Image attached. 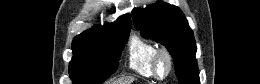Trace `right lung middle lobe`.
Segmentation results:
<instances>
[{"mask_svg":"<svg viewBox=\"0 0 260 84\" xmlns=\"http://www.w3.org/2000/svg\"><path fill=\"white\" fill-rule=\"evenodd\" d=\"M129 31L110 33L99 39L72 45L69 74L74 84H101L115 72Z\"/></svg>","mask_w":260,"mask_h":84,"instance_id":"dd1d6c3e","label":"right lung middle lobe"}]
</instances>
